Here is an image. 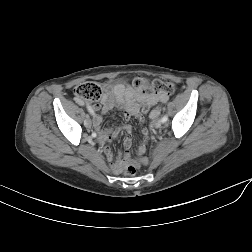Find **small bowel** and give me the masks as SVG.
<instances>
[{"instance_id":"1","label":"small bowel","mask_w":252,"mask_h":252,"mask_svg":"<svg viewBox=\"0 0 252 252\" xmlns=\"http://www.w3.org/2000/svg\"><path fill=\"white\" fill-rule=\"evenodd\" d=\"M104 94L99 105H93L92 110H99L103 113H108L114 109L120 110L124 113V117L128 120L131 116H139L141 124L144 123V118L141 116V112H147L146 109H150L157 102H167L170 99L169 94H153L144 91L137 90L128 82H120L112 85L108 82L104 84ZM76 102L80 105L83 101L76 99ZM102 118L96 115L93 119L94 129L98 133V141L101 144L115 138L119 132L118 127H112L108 130L101 128ZM127 138L125 140V148L127 151L124 155H120L112 164L111 169L115 174H120L126 164L130 160L129 148L131 146V127L126 126ZM143 140L138 147V153L143 154L146 150V142L148 138V131L146 128L141 129ZM108 160H113V155L110 147L105 146L103 149ZM142 163H146L145 158H141Z\"/></svg>"}]
</instances>
